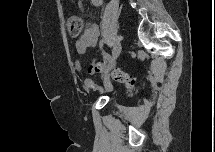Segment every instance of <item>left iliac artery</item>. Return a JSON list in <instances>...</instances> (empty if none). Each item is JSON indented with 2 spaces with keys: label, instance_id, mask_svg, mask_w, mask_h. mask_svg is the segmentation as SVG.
Returning <instances> with one entry per match:
<instances>
[{
  "label": "left iliac artery",
  "instance_id": "obj_1",
  "mask_svg": "<svg viewBox=\"0 0 215 152\" xmlns=\"http://www.w3.org/2000/svg\"><path fill=\"white\" fill-rule=\"evenodd\" d=\"M104 42V40H102L101 41V43H103ZM104 55H105V57H107V59H108V65H107V67H106V69H102L101 70V75L103 76L104 74H108V72H111V70H112V65H113V56H112V54H108V53H105L104 52Z\"/></svg>",
  "mask_w": 215,
  "mask_h": 152
}]
</instances>
